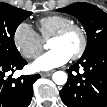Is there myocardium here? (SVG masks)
<instances>
[{
	"label": "myocardium",
	"mask_w": 107,
	"mask_h": 107,
	"mask_svg": "<svg viewBox=\"0 0 107 107\" xmlns=\"http://www.w3.org/2000/svg\"><path fill=\"white\" fill-rule=\"evenodd\" d=\"M73 30L78 31L80 33V36H81L80 47L78 48V50L74 54H72L70 56V58L72 60H77L80 57H82V55L85 53L87 46H88V34H87L86 29L82 25L74 23V22L70 23V24L62 27L61 29H59L56 33H54L52 35V37L50 38V40L61 39Z\"/></svg>",
	"instance_id": "obj_1"
}]
</instances>
